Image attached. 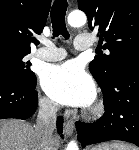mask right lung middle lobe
Masks as SVG:
<instances>
[{
    "label": "right lung middle lobe",
    "mask_w": 139,
    "mask_h": 150,
    "mask_svg": "<svg viewBox=\"0 0 139 150\" xmlns=\"http://www.w3.org/2000/svg\"><path fill=\"white\" fill-rule=\"evenodd\" d=\"M29 53L0 47V77L24 84L35 82L36 76L30 69L31 63L25 60Z\"/></svg>",
    "instance_id": "right-lung-middle-lobe-1"
}]
</instances>
